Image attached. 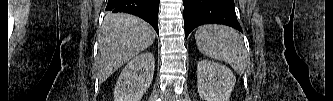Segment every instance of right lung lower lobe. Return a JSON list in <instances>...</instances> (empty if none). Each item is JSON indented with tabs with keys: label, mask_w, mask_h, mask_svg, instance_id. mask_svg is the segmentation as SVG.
I'll return each instance as SVG.
<instances>
[{
	"label": "right lung lower lobe",
	"mask_w": 333,
	"mask_h": 101,
	"mask_svg": "<svg viewBox=\"0 0 333 101\" xmlns=\"http://www.w3.org/2000/svg\"><path fill=\"white\" fill-rule=\"evenodd\" d=\"M160 0H108L106 11L125 12L141 17L158 33V9Z\"/></svg>",
	"instance_id": "98d812e1"
}]
</instances>
